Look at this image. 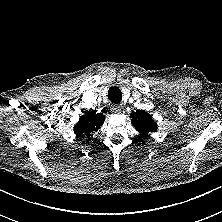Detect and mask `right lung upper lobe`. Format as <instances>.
Instances as JSON below:
<instances>
[{
  "instance_id": "right-lung-upper-lobe-1",
  "label": "right lung upper lobe",
  "mask_w": 222,
  "mask_h": 222,
  "mask_svg": "<svg viewBox=\"0 0 222 222\" xmlns=\"http://www.w3.org/2000/svg\"><path fill=\"white\" fill-rule=\"evenodd\" d=\"M97 111H86L84 115L80 117L79 122L74 127L76 136L87 135L98 131L104 120L105 116L102 113H96Z\"/></svg>"
}]
</instances>
